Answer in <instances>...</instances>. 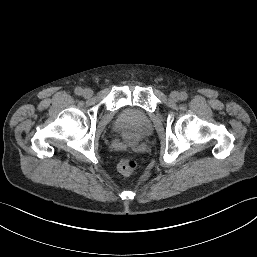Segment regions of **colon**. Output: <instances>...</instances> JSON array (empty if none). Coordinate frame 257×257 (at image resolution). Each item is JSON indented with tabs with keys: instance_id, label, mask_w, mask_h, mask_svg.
Returning <instances> with one entry per match:
<instances>
[{
	"instance_id": "colon-1",
	"label": "colon",
	"mask_w": 257,
	"mask_h": 257,
	"mask_svg": "<svg viewBox=\"0 0 257 257\" xmlns=\"http://www.w3.org/2000/svg\"><path fill=\"white\" fill-rule=\"evenodd\" d=\"M137 169V162L131 157H123L118 162V170L126 175H131Z\"/></svg>"
}]
</instances>
